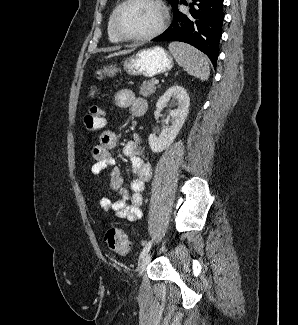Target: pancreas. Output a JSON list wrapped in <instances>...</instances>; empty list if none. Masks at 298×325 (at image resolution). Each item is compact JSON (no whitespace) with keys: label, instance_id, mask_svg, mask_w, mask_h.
I'll list each match as a JSON object with an SVG mask.
<instances>
[{"label":"pancreas","instance_id":"1","mask_svg":"<svg viewBox=\"0 0 298 325\" xmlns=\"http://www.w3.org/2000/svg\"><path fill=\"white\" fill-rule=\"evenodd\" d=\"M156 88L157 86L154 80H143L139 86V94L141 96H150V94H154Z\"/></svg>","mask_w":298,"mask_h":325}]
</instances>
